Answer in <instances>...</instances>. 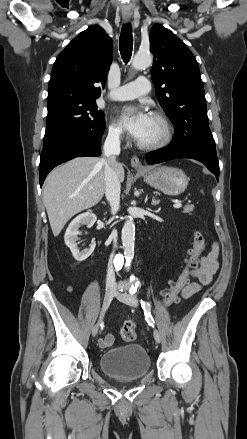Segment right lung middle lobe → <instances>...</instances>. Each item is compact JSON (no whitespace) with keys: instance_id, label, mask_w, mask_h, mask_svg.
Masks as SVG:
<instances>
[{"instance_id":"right-lung-middle-lobe-1","label":"right lung middle lobe","mask_w":247,"mask_h":439,"mask_svg":"<svg viewBox=\"0 0 247 439\" xmlns=\"http://www.w3.org/2000/svg\"><path fill=\"white\" fill-rule=\"evenodd\" d=\"M105 117L94 100H66L48 108L43 145L76 135L103 132Z\"/></svg>"}]
</instances>
